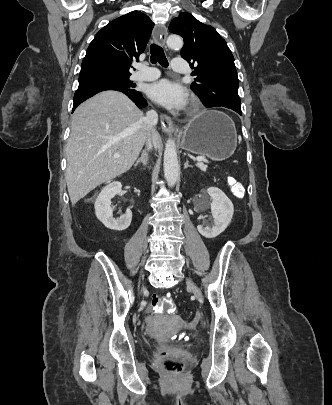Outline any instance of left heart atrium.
I'll list each match as a JSON object with an SVG mask.
<instances>
[{"label":"left heart atrium","mask_w":332,"mask_h":405,"mask_svg":"<svg viewBox=\"0 0 332 405\" xmlns=\"http://www.w3.org/2000/svg\"><path fill=\"white\" fill-rule=\"evenodd\" d=\"M146 92L153 101L169 109H182L187 103L186 90L168 79L150 84Z\"/></svg>","instance_id":"left-heart-atrium-1"}]
</instances>
